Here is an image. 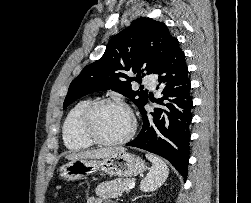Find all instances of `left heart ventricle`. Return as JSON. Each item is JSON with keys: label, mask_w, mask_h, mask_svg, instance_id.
Returning <instances> with one entry per match:
<instances>
[{"label": "left heart ventricle", "mask_w": 251, "mask_h": 203, "mask_svg": "<svg viewBox=\"0 0 251 203\" xmlns=\"http://www.w3.org/2000/svg\"><path fill=\"white\" fill-rule=\"evenodd\" d=\"M128 112L118 105H103L95 113L94 131L103 139L115 140L123 137L130 129Z\"/></svg>", "instance_id": "left-heart-ventricle-1"}]
</instances>
